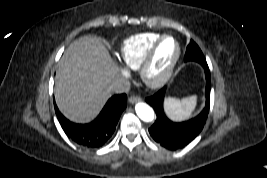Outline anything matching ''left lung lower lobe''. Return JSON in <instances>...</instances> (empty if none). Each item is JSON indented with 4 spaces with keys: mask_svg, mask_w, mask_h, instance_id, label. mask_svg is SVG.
<instances>
[{
    "mask_svg": "<svg viewBox=\"0 0 267 178\" xmlns=\"http://www.w3.org/2000/svg\"><path fill=\"white\" fill-rule=\"evenodd\" d=\"M203 67L206 76V102L205 107L196 117L179 123L168 119L163 109L166 88L146 98V102L153 107L157 115L154 124L149 128V133L158 144L168 150L174 151L188 145L199 135L205 125L210 108L211 78L208 66Z\"/></svg>",
    "mask_w": 267,
    "mask_h": 178,
    "instance_id": "left-lung-lower-lobe-1",
    "label": "left lung lower lobe"
}]
</instances>
